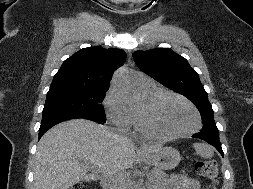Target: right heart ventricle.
Listing matches in <instances>:
<instances>
[{
  "instance_id": "obj_1",
  "label": "right heart ventricle",
  "mask_w": 253,
  "mask_h": 189,
  "mask_svg": "<svg viewBox=\"0 0 253 189\" xmlns=\"http://www.w3.org/2000/svg\"><path fill=\"white\" fill-rule=\"evenodd\" d=\"M137 90L141 95L144 102L155 96L156 94L162 92V90L157 87L155 84L150 86L145 85H137ZM141 109L134 108L132 109V116H133V124L139 127V113Z\"/></svg>"
}]
</instances>
